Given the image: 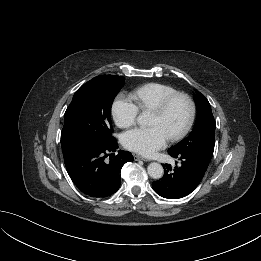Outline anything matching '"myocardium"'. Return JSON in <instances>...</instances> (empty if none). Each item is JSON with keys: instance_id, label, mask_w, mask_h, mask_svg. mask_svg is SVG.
Instances as JSON below:
<instances>
[{"instance_id": "myocardium-1", "label": "myocardium", "mask_w": 261, "mask_h": 261, "mask_svg": "<svg viewBox=\"0 0 261 261\" xmlns=\"http://www.w3.org/2000/svg\"><path fill=\"white\" fill-rule=\"evenodd\" d=\"M179 99H183L184 101H186L189 112H188L187 121H186L185 125L183 126V128L180 131L169 136V138L172 141L183 138L189 132V130L191 129V127L194 123L195 115H196V104H195L193 98L186 93L178 92V93L168 97L161 105H159L154 110H152L154 113L163 116L170 110L172 105Z\"/></svg>"}]
</instances>
